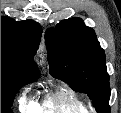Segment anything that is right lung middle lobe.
Segmentation results:
<instances>
[{
	"instance_id": "obj_1",
	"label": "right lung middle lobe",
	"mask_w": 121,
	"mask_h": 113,
	"mask_svg": "<svg viewBox=\"0 0 121 113\" xmlns=\"http://www.w3.org/2000/svg\"><path fill=\"white\" fill-rule=\"evenodd\" d=\"M36 79L18 68L1 63V113H12V102L17 91Z\"/></svg>"
}]
</instances>
